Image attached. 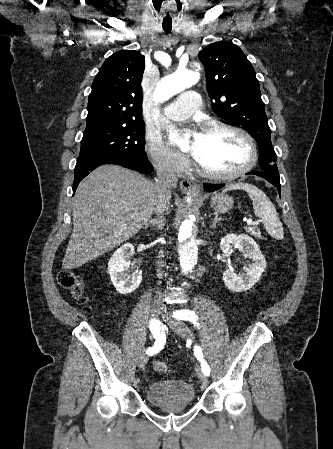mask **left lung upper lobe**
Wrapping results in <instances>:
<instances>
[{"mask_svg":"<svg viewBox=\"0 0 333 449\" xmlns=\"http://www.w3.org/2000/svg\"><path fill=\"white\" fill-rule=\"evenodd\" d=\"M206 69L213 111L247 130L259 147L260 170L279 176L271 131L254 68L242 50L229 42L209 44L198 54Z\"/></svg>","mask_w":333,"mask_h":449,"instance_id":"left-lung-upper-lobe-1","label":"left lung upper lobe"}]
</instances>
